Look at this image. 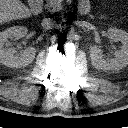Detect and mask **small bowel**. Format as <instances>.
Returning a JSON list of instances; mask_svg holds the SVG:
<instances>
[{
  "label": "small bowel",
  "instance_id": "obj_1",
  "mask_svg": "<svg viewBox=\"0 0 128 128\" xmlns=\"http://www.w3.org/2000/svg\"><path fill=\"white\" fill-rule=\"evenodd\" d=\"M80 4L88 5V6L90 7V2H89V0H80Z\"/></svg>",
  "mask_w": 128,
  "mask_h": 128
}]
</instances>
